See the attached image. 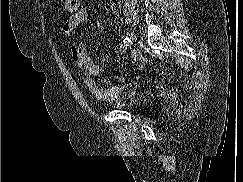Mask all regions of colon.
Masks as SVG:
<instances>
[{
	"label": "colon",
	"instance_id": "colon-1",
	"mask_svg": "<svg viewBox=\"0 0 243 182\" xmlns=\"http://www.w3.org/2000/svg\"><path fill=\"white\" fill-rule=\"evenodd\" d=\"M79 0H65L64 9L66 12L74 14L78 11Z\"/></svg>",
	"mask_w": 243,
	"mask_h": 182
}]
</instances>
